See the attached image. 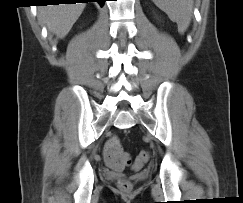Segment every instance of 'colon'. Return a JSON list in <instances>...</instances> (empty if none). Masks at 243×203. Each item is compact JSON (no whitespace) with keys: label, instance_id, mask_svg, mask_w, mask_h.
<instances>
[{"label":"colon","instance_id":"5ec220e1","mask_svg":"<svg viewBox=\"0 0 243 203\" xmlns=\"http://www.w3.org/2000/svg\"><path fill=\"white\" fill-rule=\"evenodd\" d=\"M150 157V154L148 151H142L140 152L138 158H137V163L139 166H141L142 164H144L145 162L148 161ZM118 158L119 161L121 163H123L124 165L129 164L130 163V156L126 151H123L122 149L119 151L118 153ZM118 187L121 191L125 192V193H129L132 191L133 185L130 181L126 180V179H122L121 181H119L118 183Z\"/></svg>","mask_w":243,"mask_h":203}]
</instances>
